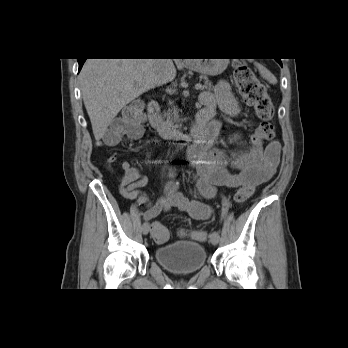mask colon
<instances>
[{
  "mask_svg": "<svg viewBox=\"0 0 348 348\" xmlns=\"http://www.w3.org/2000/svg\"><path fill=\"white\" fill-rule=\"evenodd\" d=\"M234 82L243 97L245 103L251 106L261 123L251 135V142L254 147H261L263 142L274 137V126L271 119L274 114V107L266 85L260 81L249 65L243 61H237L234 65ZM144 123L143 108L140 104L126 106L121 114L115 118L111 126L105 131L103 141L106 146L112 147L125 139H135L142 133ZM116 155L109 157L114 161ZM254 192V186L243 185L235 193L236 203H244ZM152 235L156 242H166L170 233L168 229L160 224L153 223ZM181 236H188L194 240L202 241L206 234L201 231H180Z\"/></svg>",
  "mask_w": 348,
  "mask_h": 348,
  "instance_id": "1",
  "label": "colon"
}]
</instances>
